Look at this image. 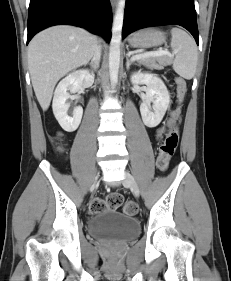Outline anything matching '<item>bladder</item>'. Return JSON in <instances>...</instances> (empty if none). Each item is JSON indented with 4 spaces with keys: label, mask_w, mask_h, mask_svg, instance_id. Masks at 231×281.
<instances>
[{
    "label": "bladder",
    "mask_w": 231,
    "mask_h": 281,
    "mask_svg": "<svg viewBox=\"0 0 231 281\" xmlns=\"http://www.w3.org/2000/svg\"><path fill=\"white\" fill-rule=\"evenodd\" d=\"M140 231V223L134 217L104 209L91 215L87 220V232L96 239L130 240Z\"/></svg>",
    "instance_id": "31cf9c89"
}]
</instances>
